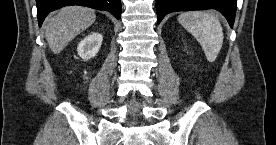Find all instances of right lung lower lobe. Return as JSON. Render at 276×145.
<instances>
[{
	"mask_svg": "<svg viewBox=\"0 0 276 145\" xmlns=\"http://www.w3.org/2000/svg\"><path fill=\"white\" fill-rule=\"evenodd\" d=\"M38 23L41 27L50 11L67 5H83L109 11L115 18H121V0H36Z\"/></svg>",
	"mask_w": 276,
	"mask_h": 145,
	"instance_id": "right-lung-lower-lobe-1",
	"label": "right lung lower lobe"
}]
</instances>
